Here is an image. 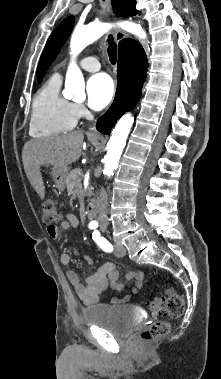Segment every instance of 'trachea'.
<instances>
[{
	"label": "trachea",
	"mask_w": 221,
	"mask_h": 379,
	"mask_svg": "<svg viewBox=\"0 0 221 379\" xmlns=\"http://www.w3.org/2000/svg\"><path fill=\"white\" fill-rule=\"evenodd\" d=\"M108 43H109V46H108L107 52H108V55H109V60H110V62L112 64H115L116 60H117V45L113 41V36L112 35H109V37H108Z\"/></svg>",
	"instance_id": "1"
}]
</instances>
